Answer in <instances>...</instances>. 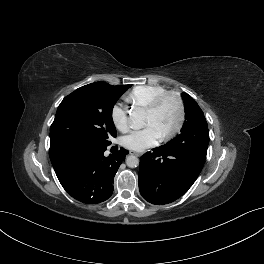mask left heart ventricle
<instances>
[{
	"mask_svg": "<svg viewBox=\"0 0 264 264\" xmlns=\"http://www.w3.org/2000/svg\"><path fill=\"white\" fill-rule=\"evenodd\" d=\"M177 120L178 108L173 98L165 100L156 112L145 115V124L154 126L161 136L172 130Z\"/></svg>",
	"mask_w": 264,
	"mask_h": 264,
	"instance_id": "obj_1",
	"label": "left heart ventricle"
}]
</instances>
